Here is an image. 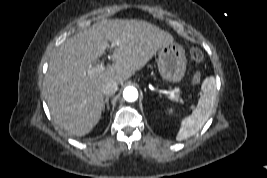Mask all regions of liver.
I'll return each mask as SVG.
<instances>
[{
    "mask_svg": "<svg viewBox=\"0 0 267 178\" xmlns=\"http://www.w3.org/2000/svg\"><path fill=\"white\" fill-rule=\"evenodd\" d=\"M111 43L112 65L88 74V68ZM173 42L166 31L142 20H101L66 39L50 59L45 99L55 123L69 134L84 136L101 118L103 85L123 83L143 68L163 46Z\"/></svg>",
    "mask_w": 267,
    "mask_h": 178,
    "instance_id": "1",
    "label": "liver"
}]
</instances>
